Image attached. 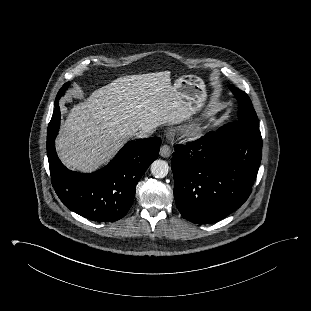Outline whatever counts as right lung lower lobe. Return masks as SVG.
Returning a JSON list of instances; mask_svg holds the SVG:
<instances>
[{"label": "right lung lower lobe", "mask_w": 311, "mask_h": 311, "mask_svg": "<svg viewBox=\"0 0 311 311\" xmlns=\"http://www.w3.org/2000/svg\"><path fill=\"white\" fill-rule=\"evenodd\" d=\"M60 126V109H55L47 130V155L52 185L71 211L98 222L121 219L130 209L136 184L157 159L159 137L129 141L101 170L82 174L68 170L59 160L55 138Z\"/></svg>", "instance_id": "98d812e1"}]
</instances>
